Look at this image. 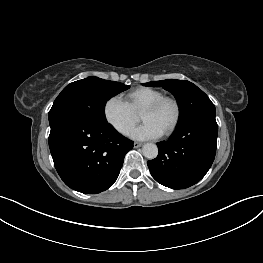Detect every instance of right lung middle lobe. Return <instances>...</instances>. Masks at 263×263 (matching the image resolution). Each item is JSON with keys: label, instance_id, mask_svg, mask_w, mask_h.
I'll return each instance as SVG.
<instances>
[{"label": "right lung middle lobe", "instance_id": "right-lung-middle-lobe-1", "mask_svg": "<svg viewBox=\"0 0 263 263\" xmlns=\"http://www.w3.org/2000/svg\"><path fill=\"white\" fill-rule=\"evenodd\" d=\"M128 88L123 83L93 76L72 82L55 99L49 111V123L51 125L64 117H80L105 123L106 102Z\"/></svg>", "mask_w": 263, "mask_h": 263}]
</instances>
